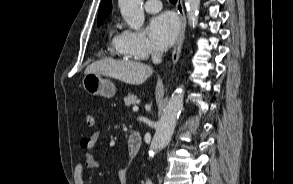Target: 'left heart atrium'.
I'll return each mask as SVG.
<instances>
[{"instance_id": "left-heart-atrium-1", "label": "left heart atrium", "mask_w": 293, "mask_h": 184, "mask_svg": "<svg viewBox=\"0 0 293 184\" xmlns=\"http://www.w3.org/2000/svg\"><path fill=\"white\" fill-rule=\"evenodd\" d=\"M178 29L177 18L172 13L164 12L151 20L149 36L159 48L165 49L174 42Z\"/></svg>"}]
</instances>
